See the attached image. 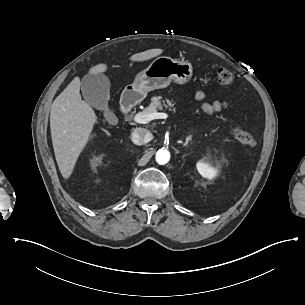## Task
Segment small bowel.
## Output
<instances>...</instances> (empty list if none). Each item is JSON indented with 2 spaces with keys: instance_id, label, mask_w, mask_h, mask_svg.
Masks as SVG:
<instances>
[{
  "instance_id": "1",
  "label": "small bowel",
  "mask_w": 305,
  "mask_h": 305,
  "mask_svg": "<svg viewBox=\"0 0 305 305\" xmlns=\"http://www.w3.org/2000/svg\"><path fill=\"white\" fill-rule=\"evenodd\" d=\"M205 98V94L202 91L196 92V99L202 101ZM227 107V103L221 101H212V102H204L203 103V111L207 114H216L222 111Z\"/></svg>"
}]
</instances>
